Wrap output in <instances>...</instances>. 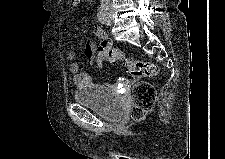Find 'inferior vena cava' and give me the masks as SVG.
Instances as JSON below:
<instances>
[{
	"label": "inferior vena cava",
	"mask_w": 225,
	"mask_h": 159,
	"mask_svg": "<svg viewBox=\"0 0 225 159\" xmlns=\"http://www.w3.org/2000/svg\"><path fill=\"white\" fill-rule=\"evenodd\" d=\"M101 5L106 7L110 6V0H101Z\"/></svg>",
	"instance_id": "obj_1"
}]
</instances>
